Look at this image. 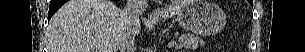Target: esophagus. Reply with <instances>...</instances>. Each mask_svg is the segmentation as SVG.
<instances>
[{"label": "esophagus", "instance_id": "esophagus-1", "mask_svg": "<svg viewBox=\"0 0 305 52\" xmlns=\"http://www.w3.org/2000/svg\"><path fill=\"white\" fill-rule=\"evenodd\" d=\"M157 17V14H155L154 12H150L149 15H148V19L149 20H153Z\"/></svg>", "mask_w": 305, "mask_h": 52}]
</instances>
